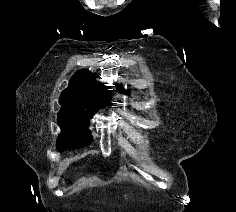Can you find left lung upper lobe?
<instances>
[{"instance_id": "left-lung-upper-lobe-1", "label": "left lung upper lobe", "mask_w": 236, "mask_h": 212, "mask_svg": "<svg viewBox=\"0 0 236 212\" xmlns=\"http://www.w3.org/2000/svg\"><path fill=\"white\" fill-rule=\"evenodd\" d=\"M121 90H123V88H120V87H119V88H118V91H121Z\"/></svg>"}]
</instances>
